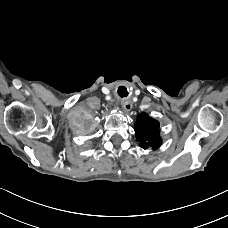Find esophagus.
Returning <instances> with one entry per match:
<instances>
[{
  "label": "esophagus",
  "mask_w": 228,
  "mask_h": 228,
  "mask_svg": "<svg viewBox=\"0 0 228 228\" xmlns=\"http://www.w3.org/2000/svg\"><path fill=\"white\" fill-rule=\"evenodd\" d=\"M121 105H122L125 112H129L132 109V103L128 99H123L121 101Z\"/></svg>",
  "instance_id": "esophagus-1"
}]
</instances>
